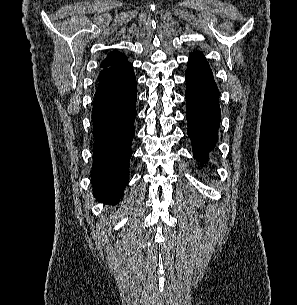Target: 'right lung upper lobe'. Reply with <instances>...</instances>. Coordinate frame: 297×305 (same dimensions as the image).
<instances>
[{"instance_id": "right-lung-upper-lobe-1", "label": "right lung upper lobe", "mask_w": 297, "mask_h": 305, "mask_svg": "<svg viewBox=\"0 0 297 305\" xmlns=\"http://www.w3.org/2000/svg\"><path fill=\"white\" fill-rule=\"evenodd\" d=\"M128 64V59L123 53L118 51L109 53L101 63L103 70L99 74V80L118 72Z\"/></svg>"}]
</instances>
